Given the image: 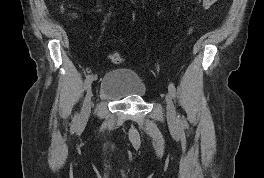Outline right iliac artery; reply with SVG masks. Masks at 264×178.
I'll return each instance as SVG.
<instances>
[{
    "instance_id": "1",
    "label": "right iliac artery",
    "mask_w": 264,
    "mask_h": 178,
    "mask_svg": "<svg viewBox=\"0 0 264 178\" xmlns=\"http://www.w3.org/2000/svg\"><path fill=\"white\" fill-rule=\"evenodd\" d=\"M92 80H93V75H88L86 77L85 82H84V89H87L91 85ZM78 122H79V116L75 115V117L72 121V126L76 127Z\"/></svg>"
}]
</instances>
